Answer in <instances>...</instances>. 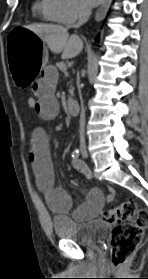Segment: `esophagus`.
I'll use <instances>...</instances> for the list:
<instances>
[{
    "label": "esophagus",
    "mask_w": 148,
    "mask_h": 279,
    "mask_svg": "<svg viewBox=\"0 0 148 279\" xmlns=\"http://www.w3.org/2000/svg\"><path fill=\"white\" fill-rule=\"evenodd\" d=\"M110 1L111 0H103V3L101 4V6L99 7V9L97 10V12L95 14V21L99 22L102 19H104V17L106 16Z\"/></svg>",
    "instance_id": "34e87169"
}]
</instances>
